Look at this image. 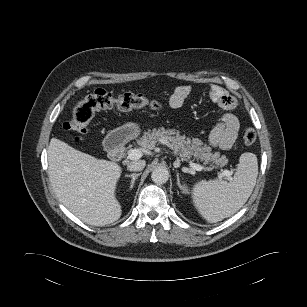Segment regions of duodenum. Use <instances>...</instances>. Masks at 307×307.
<instances>
[{
  "mask_svg": "<svg viewBox=\"0 0 307 307\" xmlns=\"http://www.w3.org/2000/svg\"><path fill=\"white\" fill-rule=\"evenodd\" d=\"M108 156L112 161H119L122 159L125 152V144L122 133H115L106 141Z\"/></svg>",
  "mask_w": 307,
  "mask_h": 307,
  "instance_id": "410a0bca",
  "label": "duodenum"
}]
</instances>
